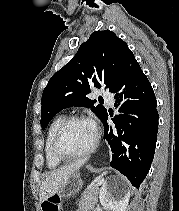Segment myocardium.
<instances>
[{"label":"myocardium","mask_w":179,"mask_h":211,"mask_svg":"<svg viewBox=\"0 0 179 211\" xmlns=\"http://www.w3.org/2000/svg\"><path fill=\"white\" fill-rule=\"evenodd\" d=\"M79 121L91 122V120L84 115L70 116L68 118H65L62 121V123L59 125V127L57 128V130L55 132L53 142H52V152H53L54 156L62 162L73 161V160L85 158V157L91 155L97 149V147L99 145V132L96 129L95 139H94L93 144L90 146V148H88L84 152H81L79 154H74V155H69V154H66L63 152V150L61 149V141H62L65 131L71 124H73L75 122H79Z\"/></svg>","instance_id":"myocardium-1"}]
</instances>
